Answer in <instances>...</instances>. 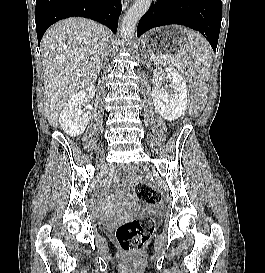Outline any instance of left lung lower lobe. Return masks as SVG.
<instances>
[{
    "mask_svg": "<svg viewBox=\"0 0 265 273\" xmlns=\"http://www.w3.org/2000/svg\"><path fill=\"white\" fill-rule=\"evenodd\" d=\"M169 24H180L201 32L216 51L221 27V0H158L140 19L137 36Z\"/></svg>",
    "mask_w": 265,
    "mask_h": 273,
    "instance_id": "1",
    "label": "left lung lower lobe"
}]
</instances>
